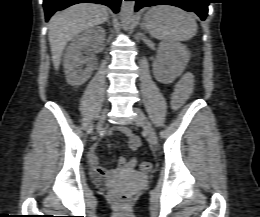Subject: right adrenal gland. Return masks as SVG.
<instances>
[{
  "label": "right adrenal gland",
  "instance_id": "obj_1",
  "mask_svg": "<svg viewBox=\"0 0 260 217\" xmlns=\"http://www.w3.org/2000/svg\"><path fill=\"white\" fill-rule=\"evenodd\" d=\"M106 22L110 24L109 16L107 17Z\"/></svg>",
  "mask_w": 260,
  "mask_h": 217
}]
</instances>
